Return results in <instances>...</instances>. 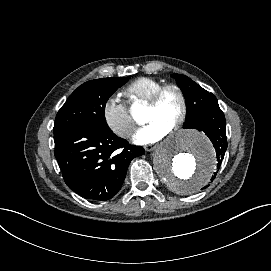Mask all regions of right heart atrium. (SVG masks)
Returning a JSON list of instances; mask_svg holds the SVG:
<instances>
[{
  "label": "right heart atrium",
  "instance_id": "1",
  "mask_svg": "<svg viewBox=\"0 0 271 271\" xmlns=\"http://www.w3.org/2000/svg\"><path fill=\"white\" fill-rule=\"evenodd\" d=\"M102 116L106 125L123 139H128L135 129V122L120 93L109 95L104 100Z\"/></svg>",
  "mask_w": 271,
  "mask_h": 271
}]
</instances>
